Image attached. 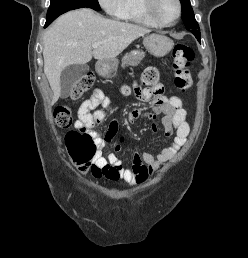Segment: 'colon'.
I'll return each instance as SVG.
<instances>
[{"instance_id":"obj_1","label":"colon","mask_w":248,"mask_h":258,"mask_svg":"<svg viewBox=\"0 0 248 258\" xmlns=\"http://www.w3.org/2000/svg\"><path fill=\"white\" fill-rule=\"evenodd\" d=\"M173 80L176 88L187 91L192 86V77L189 72V66L194 59L193 49L186 44H177L173 50ZM95 78L91 73L83 75L74 85L71 92V99L76 100L83 93L88 91L94 84ZM159 83V72L156 68L149 67L141 75L140 84L155 87ZM126 93L129 92L125 88ZM55 124L60 129H69L73 123L72 112L66 105H59L54 111ZM65 143L70 157L82 169L91 167L95 176L110 175L117 178L118 171L112 168L101 169L96 166L94 159L97 148L93 137L86 131L70 130L65 136Z\"/></svg>"}]
</instances>
